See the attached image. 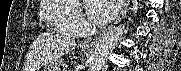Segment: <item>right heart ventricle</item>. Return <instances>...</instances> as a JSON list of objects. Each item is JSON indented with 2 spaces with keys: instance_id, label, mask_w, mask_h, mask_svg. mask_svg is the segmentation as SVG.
<instances>
[{
  "instance_id": "e07e8e85",
  "label": "right heart ventricle",
  "mask_w": 181,
  "mask_h": 71,
  "mask_svg": "<svg viewBox=\"0 0 181 71\" xmlns=\"http://www.w3.org/2000/svg\"><path fill=\"white\" fill-rule=\"evenodd\" d=\"M76 9L72 1L43 0L41 19L53 31L76 36L80 33L72 24V18L76 13Z\"/></svg>"
}]
</instances>
